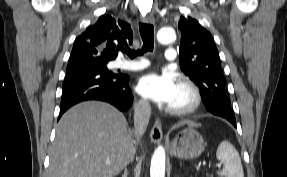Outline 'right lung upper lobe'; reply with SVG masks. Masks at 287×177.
Instances as JSON below:
<instances>
[{
  "label": "right lung upper lobe",
  "mask_w": 287,
  "mask_h": 177,
  "mask_svg": "<svg viewBox=\"0 0 287 177\" xmlns=\"http://www.w3.org/2000/svg\"><path fill=\"white\" fill-rule=\"evenodd\" d=\"M132 41L133 32L128 23L104 14L75 39L69 61L87 56L114 60L118 50Z\"/></svg>",
  "instance_id": "1"
}]
</instances>
